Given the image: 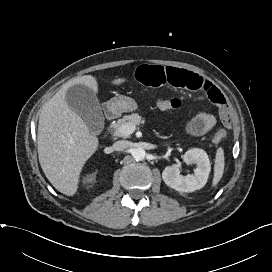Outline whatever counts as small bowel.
<instances>
[{
  "label": "small bowel",
  "instance_id": "c3829d8e",
  "mask_svg": "<svg viewBox=\"0 0 272 272\" xmlns=\"http://www.w3.org/2000/svg\"><path fill=\"white\" fill-rule=\"evenodd\" d=\"M136 80L150 87L170 85L204 92L210 101L220 109V117L225 125L230 123V110L223 93L202 76L180 68L163 67L157 65H141L134 74ZM216 124V118L208 113H200L191 118L185 125L190 135L200 136L210 131Z\"/></svg>",
  "mask_w": 272,
  "mask_h": 272
}]
</instances>
